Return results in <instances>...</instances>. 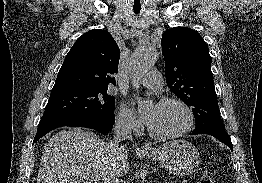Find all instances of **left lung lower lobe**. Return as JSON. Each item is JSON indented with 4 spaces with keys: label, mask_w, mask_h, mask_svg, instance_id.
Masks as SVG:
<instances>
[{
    "label": "left lung lower lobe",
    "mask_w": 262,
    "mask_h": 183,
    "mask_svg": "<svg viewBox=\"0 0 262 183\" xmlns=\"http://www.w3.org/2000/svg\"><path fill=\"white\" fill-rule=\"evenodd\" d=\"M196 134H209L226 144L231 150L233 149V145L231 143L230 136L225 131H206L202 133H193L192 135Z\"/></svg>",
    "instance_id": "0a47b994"
}]
</instances>
